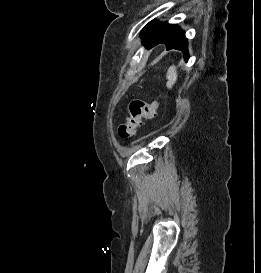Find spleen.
<instances>
[{"instance_id":"1","label":"spleen","mask_w":261,"mask_h":273,"mask_svg":"<svg viewBox=\"0 0 261 273\" xmlns=\"http://www.w3.org/2000/svg\"><path fill=\"white\" fill-rule=\"evenodd\" d=\"M167 83L166 86L168 89H172L173 85L176 83L177 81V71H176V67L174 65L170 66L168 71H167Z\"/></svg>"}]
</instances>
